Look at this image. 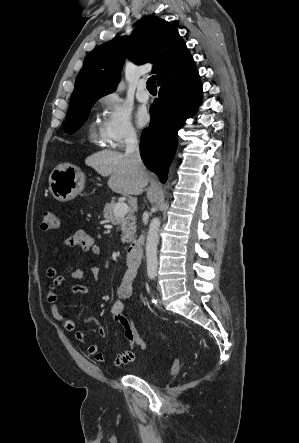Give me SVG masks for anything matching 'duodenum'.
<instances>
[{
    "label": "duodenum",
    "instance_id": "duodenum-1",
    "mask_svg": "<svg viewBox=\"0 0 299 443\" xmlns=\"http://www.w3.org/2000/svg\"><path fill=\"white\" fill-rule=\"evenodd\" d=\"M143 255L142 243L139 240L132 242L127 249V264L139 265Z\"/></svg>",
    "mask_w": 299,
    "mask_h": 443
}]
</instances>
